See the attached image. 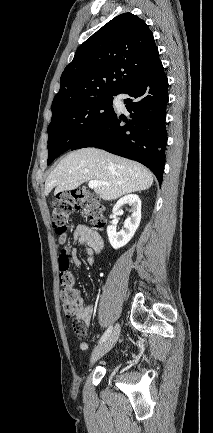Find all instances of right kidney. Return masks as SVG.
<instances>
[{
  "mask_svg": "<svg viewBox=\"0 0 213 433\" xmlns=\"http://www.w3.org/2000/svg\"><path fill=\"white\" fill-rule=\"evenodd\" d=\"M126 204L132 207V214L125 220L124 229L116 232V226L109 225L107 227L108 239L114 249L125 246L131 240L141 221V200L136 194H128L120 198L113 207L110 218L121 216L123 214L122 207Z\"/></svg>",
  "mask_w": 213,
  "mask_h": 433,
  "instance_id": "ca27d5eb",
  "label": "right kidney"
}]
</instances>
